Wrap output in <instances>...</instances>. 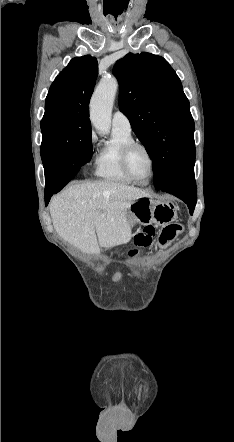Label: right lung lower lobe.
Segmentation results:
<instances>
[{"label": "right lung lower lobe", "mask_w": 234, "mask_h": 442, "mask_svg": "<svg viewBox=\"0 0 234 442\" xmlns=\"http://www.w3.org/2000/svg\"><path fill=\"white\" fill-rule=\"evenodd\" d=\"M45 170V205L53 194L59 192L80 170L81 166L74 163L66 155L47 160L43 163Z\"/></svg>", "instance_id": "1"}]
</instances>
